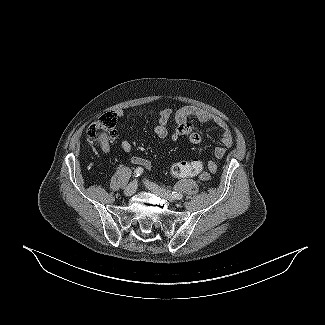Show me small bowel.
<instances>
[{"label":"small bowel","mask_w":325,"mask_h":325,"mask_svg":"<svg viewBox=\"0 0 325 325\" xmlns=\"http://www.w3.org/2000/svg\"><path fill=\"white\" fill-rule=\"evenodd\" d=\"M134 113L148 116L152 115L153 111L147 108H140L135 112L127 113L125 116L126 119L129 120L130 118H132ZM172 115L174 116L176 122V126L171 133L172 140H177L180 137H185L187 141L191 144L201 143L203 140V132L197 129L194 122L191 120V118H196L197 120L203 123L214 121V123L222 130L221 141L223 143V146L215 148L214 154L216 158H222L226 154L227 149L233 145V134L224 121L220 119H214L208 111L191 105L180 107L174 113L171 109L168 108L159 111L158 124L154 128V132L159 138L163 139L168 136L169 132L167 128V123ZM116 116L122 117L123 113L121 111H118ZM121 148L123 151L129 153L132 151V144L127 140H123L121 142ZM103 149L104 151H107L108 147L106 146ZM130 161L132 164L143 166L146 169H150L151 167L150 162L142 157L133 156L131 157ZM216 170V162L209 161L206 170L202 169L198 174L193 176H198L201 180L207 181L212 177Z\"/></svg>","instance_id":"obj_1"}]
</instances>
